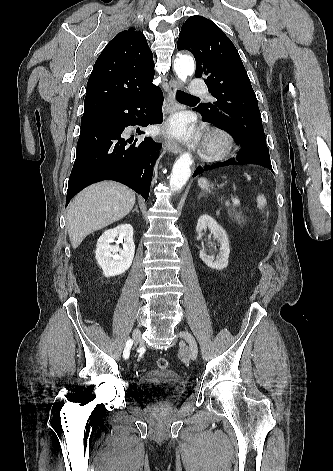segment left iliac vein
<instances>
[{
  "mask_svg": "<svg viewBox=\"0 0 333 471\" xmlns=\"http://www.w3.org/2000/svg\"><path fill=\"white\" fill-rule=\"evenodd\" d=\"M179 336L188 343V353L192 360H195L198 355V347L196 340L188 331H180Z\"/></svg>",
  "mask_w": 333,
  "mask_h": 471,
  "instance_id": "obj_1",
  "label": "left iliac vein"
}]
</instances>
